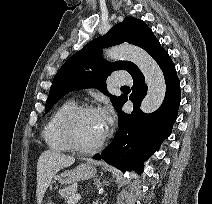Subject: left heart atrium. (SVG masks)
I'll return each mask as SVG.
<instances>
[{
    "mask_svg": "<svg viewBox=\"0 0 212 204\" xmlns=\"http://www.w3.org/2000/svg\"><path fill=\"white\" fill-rule=\"evenodd\" d=\"M100 113L103 117V120H104L106 128H107L108 124L111 121V110L109 108H105L102 111H100Z\"/></svg>",
    "mask_w": 212,
    "mask_h": 204,
    "instance_id": "obj_1",
    "label": "left heart atrium"
}]
</instances>
